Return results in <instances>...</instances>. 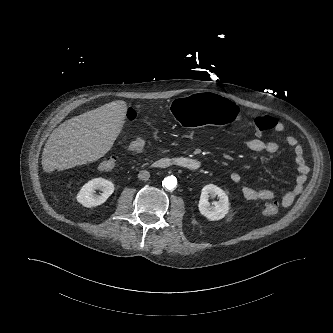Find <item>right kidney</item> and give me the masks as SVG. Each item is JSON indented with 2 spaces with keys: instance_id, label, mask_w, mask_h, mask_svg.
I'll return each mask as SVG.
<instances>
[{
  "instance_id": "right-kidney-1",
  "label": "right kidney",
  "mask_w": 333,
  "mask_h": 333,
  "mask_svg": "<svg viewBox=\"0 0 333 333\" xmlns=\"http://www.w3.org/2000/svg\"><path fill=\"white\" fill-rule=\"evenodd\" d=\"M100 190V195L95 190ZM114 184L103 178H94L82 186L77 194V201L85 207H95L103 204L114 192Z\"/></svg>"
}]
</instances>
